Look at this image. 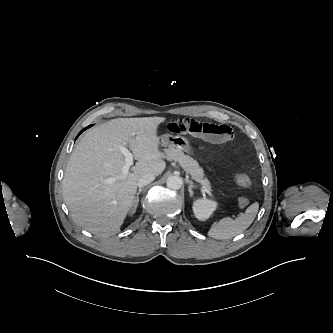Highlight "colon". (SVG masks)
I'll use <instances>...</instances> for the list:
<instances>
[{"label":"colon","instance_id":"obj_1","mask_svg":"<svg viewBox=\"0 0 333 333\" xmlns=\"http://www.w3.org/2000/svg\"><path fill=\"white\" fill-rule=\"evenodd\" d=\"M235 182L242 187H250L252 185L251 178L246 174H237L235 176ZM249 204V199L245 196H242L238 199V206L243 208Z\"/></svg>","mask_w":333,"mask_h":333}]
</instances>
